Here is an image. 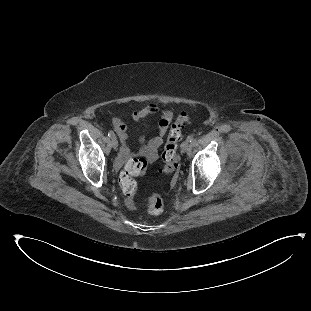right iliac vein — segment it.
<instances>
[{
  "label": "right iliac vein",
  "mask_w": 311,
  "mask_h": 311,
  "mask_svg": "<svg viewBox=\"0 0 311 311\" xmlns=\"http://www.w3.org/2000/svg\"><path fill=\"white\" fill-rule=\"evenodd\" d=\"M111 146L114 149H116L118 147V140L115 137L111 138Z\"/></svg>",
  "instance_id": "63e3f726"
}]
</instances>
